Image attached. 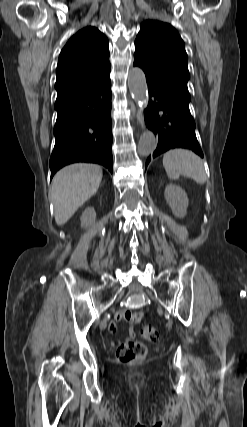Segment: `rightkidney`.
<instances>
[{
  "mask_svg": "<svg viewBox=\"0 0 247 427\" xmlns=\"http://www.w3.org/2000/svg\"><path fill=\"white\" fill-rule=\"evenodd\" d=\"M96 219V212L93 207H88L84 210L81 216V226L90 228L93 226Z\"/></svg>",
  "mask_w": 247,
  "mask_h": 427,
  "instance_id": "1",
  "label": "right kidney"
}]
</instances>
